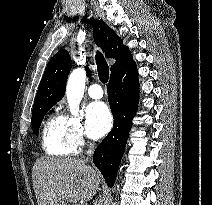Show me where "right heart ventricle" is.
Listing matches in <instances>:
<instances>
[{
    "label": "right heart ventricle",
    "mask_w": 212,
    "mask_h": 205,
    "mask_svg": "<svg viewBox=\"0 0 212 205\" xmlns=\"http://www.w3.org/2000/svg\"><path fill=\"white\" fill-rule=\"evenodd\" d=\"M42 145L44 151L52 156L66 157L74 152L63 117L52 115L46 120L42 130Z\"/></svg>",
    "instance_id": "obj_1"
}]
</instances>
